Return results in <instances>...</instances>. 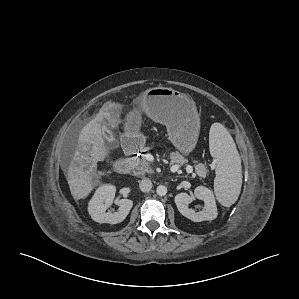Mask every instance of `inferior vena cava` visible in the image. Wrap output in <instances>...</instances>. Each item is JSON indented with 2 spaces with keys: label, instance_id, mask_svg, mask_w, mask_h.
<instances>
[{
  "label": "inferior vena cava",
  "instance_id": "1",
  "mask_svg": "<svg viewBox=\"0 0 299 299\" xmlns=\"http://www.w3.org/2000/svg\"><path fill=\"white\" fill-rule=\"evenodd\" d=\"M139 188L142 192H149L152 188V182L148 178H144L139 182Z\"/></svg>",
  "mask_w": 299,
  "mask_h": 299
}]
</instances>
